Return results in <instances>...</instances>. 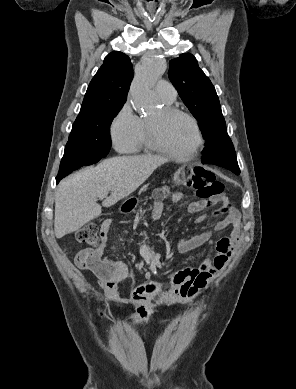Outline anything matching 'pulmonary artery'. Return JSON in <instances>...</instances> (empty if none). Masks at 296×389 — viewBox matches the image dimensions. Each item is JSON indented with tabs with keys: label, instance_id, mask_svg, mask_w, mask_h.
I'll list each match as a JSON object with an SVG mask.
<instances>
[{
	"label": "pulmonary artery",
	"instance_id": "pulmonary-artery-1",
	"mask_svg": "<svg viewBox=\"0 0 296 389\" xmlns=\"http://www.w3.org/2000/svg\"><path fill=\"white\" fill-rule=\"evenodd\" d=\"M155 91L165 102L171 103L176 99V89L166 80H159L155 85Z\"/></svg>",
	"mask_w": 296,
	"mask_h": 389
}]
</instances>
